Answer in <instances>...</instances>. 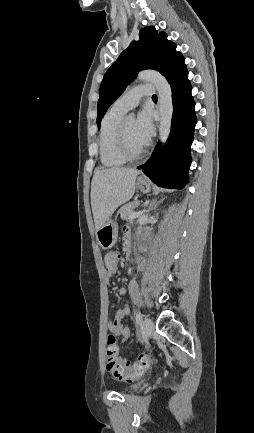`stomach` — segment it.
Wrapping results in <instances>:
<instances>
[{
  "label": "stomach",
  "mask_w": 254,
  "mask_h": 433,
  "mask_svg": "<svg viewBox=\"0 0 254 433\" xmlns=\"http://www.w3.org/2000/svg\"><path fill=\"white\" fill-rule=\"evenodd\" d=\"M136 186L145 193H148L151 189L150 183L142 177L138 178ZM117 235V224L111 219H108L104 225L96 231L97 241L103 249L111 248L117 241Z\"/></svg>",
  "instance_id": "obj_1"
}]
</instances>
